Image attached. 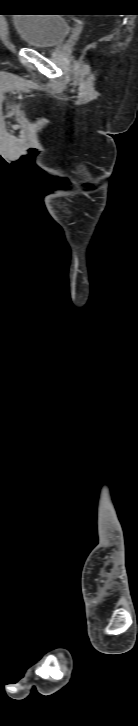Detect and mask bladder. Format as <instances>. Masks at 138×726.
Returning a JSON list of instances; mask_svg holds the SVG:
<instances>
[{
  "instance_id": "1",
  "label": "bladder",
  "mask_w": 138,
  "mask_h": 726,
  "mask_svg": "<svg viewBox=\"0 0 138 726\" xmlns=\"http://www.w3.org/2000/svg\"><path fill=\"white\" fill-rule=\"evenodd\" d=\"M13 25L25 46L52 48L62 43L71 25L65 18L54 14H22L13 19Z\"/></svg>"
}]
</instances>
